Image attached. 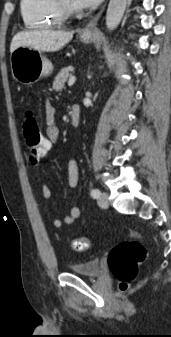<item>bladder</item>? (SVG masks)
<instances>
[{"label":"bladder","instance_id":"1","mask_svg":"<svg viewBox=\"0 0 171 337\" xmlns=\"http://www.w3.org/2000/svg\"><path fill=\"white\" fill-rule=\"evenodd\" d=\"M68 268L74 274L91 278L98 277L101 273V263L98 259L73 263L68 265Z\"/></svg>","mask_w":171,"mask_h":337}]
</instances>
